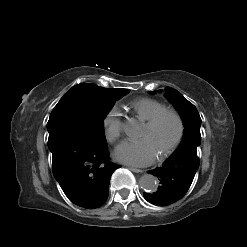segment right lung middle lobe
Segmentation results:
<instances>
[{
  "mask_svg": "<svg viewBox=\"0 0 247 247\" xmlns=\"http://www.w3.org/2000/svg\"><path fill=\"white\" fill-rule=\"evenodd\" d=\"M128 92V89H108L89 83L76 85L54 107L47 130L69 132L104 146V118L115 101Z\"/></svg>",
  "mask_w": 247,
  "mask_h": 247,
  "instance_id": "obj_1",
  "label": "right lung middle lobe"
}]
</instances>
